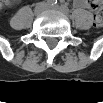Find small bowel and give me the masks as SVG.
<instances>
[{
    "mask_svg": "<svg viewBox=\"0 0 103 103\" xmlns=\"http://www.w3.org/2000/svg\"><path fill=\"white\" fill-rule=\"evenodd\" d=\"M4 5L8 6L9 3L5 2ZM75 5L78 6V7H82V8H88L89 7V3L87 1H84V0H78V1H76Z\"/></svg>",
    "mask_w": 103,
    "mask_h": 103,
    "instance_id": "small-bowel-1",
    "label": "small bowel"
}]
</instances>
